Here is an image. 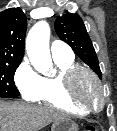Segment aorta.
Returning <instances> with one entry per match:
<instances>
[{"mask_svg":"<svg viewBox=\"0 0 117 131\" xmlns=\"http://www.w3.org/2000/svg\"><path fill=\"white\" fill-rule=\"evenodd\" d=\"M49 39L50 26L45 20L37 22L29 31L26 39V50L31 64L45 76H50L53 72Z\"/></svg>","mask_w":117,"mask_h":131,"instance_id":"aorta-1","label":"aorta"}]
</instances>
